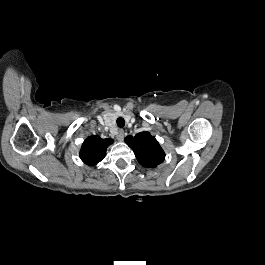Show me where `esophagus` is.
I'll return each instance as SVG.
<instances>
[{"mask_svg":"<svg viewBox=\"0 0 265 265\" xmlns=\"http://www.w3.org/2000/svg\"><path fill=\"white\" fill-rule=\"evenodd\" d=\"M116 138L118 141H122L124 139V131L122 129L118 130Z\"/></svg>","mask_w":265,"mask_h":265,"instance_id":"obj_1","label":"esophagus"}]
</instances>
